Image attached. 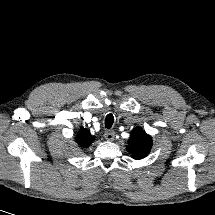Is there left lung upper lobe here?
Here are the masks:
<instances>
[{"instance_id":"1","label":"left lung upper lobe","mask_w":215,"mask_h":215,"mask_svg":"<svg viewBox=\"0 0 215 215\" xmlns=\"http://www.w3.org/2000/svg\"><path fill=\"white\" fill-rule=\"evenodd\" d=\"M152 143V137L146 134L141 127H136L131 132L127 150L133 159L140 160L150 153Z\"/></svg>"}]
</instances>
